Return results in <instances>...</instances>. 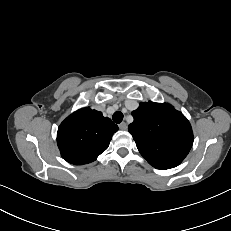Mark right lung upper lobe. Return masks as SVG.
Returning <instances> with one entry per match:
<instances>
[{"label":"right lung upper lobe","instance_id":"cb5924a9","mask_svg":"<svg viewBox=\"0 0 231 231\" xmlns=\"http://www.w3.org/2000/svg\"><path fill=\"white\" fill-rule=\"evenodd\" d=\"M117 130L118 126L102 112L81 108L68 116L58 128L57 143L61 156L75 165L93 162L108 148Z\"/></svg>","mask_w":231,"mask_h":231}]
</instances>
